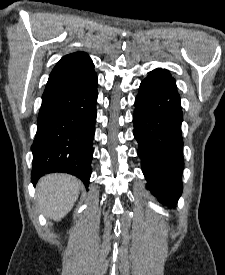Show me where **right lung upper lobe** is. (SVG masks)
Returning a JSON list of instances; mask_svg holds the SVG:
<instances>
[{
    "mask_svg": "<svg viewBox=\"0 0 225 275\" xmlns=\"http://www.w3.org/2000/svg\"><path fill=\"white\" fill-rule=\"evenodd\" d=\"M95 74L94 64L88 54L85 52L68 54L53 68L43 95L90 84Z\"/></svg>",
    "mask_w": 225,
    "mask_h": 275,
    "instance_id": "right-lung-upper-lobe-1",
    "label": "right lung upper lobe"
}]
</instances>
